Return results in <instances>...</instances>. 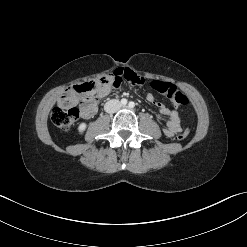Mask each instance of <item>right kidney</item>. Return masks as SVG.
I'll use <instances>...</instances> for the list:
<instances>
[{"label":"right kidney","instance_id":"1","mask_svg":"<svg viewBox=\"0 0 247 247\" xmlns=\"http://www.w3.org/2000/svg\"><path fill=\"white\" fill-rule=\"evenodd\" d=\"M86 127H87L86 123H84V122L81 123V124L78 126V132H79V134H82V133L85 131Z\"/></svg>","mask_w":247,"mask_h":247}]
</instances>
